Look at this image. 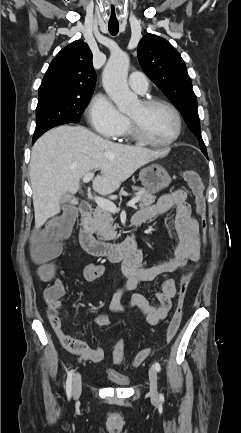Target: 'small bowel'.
Instances as JSON below:
<instances>
[{
    "label": "small bowel",
    "instance_id": "c3829d8e",
    "mask_svg": "<svg viewBox=\"0 0 241 433\" xmlns=\"http://www.w3.org/2000/svg\"><path fill=\"white\" fill-rule=\"evenodd\" d=\"M172 210L174 211L175 230L178 235V245L174 249L173 256L158 264L146 266L142 253L137 252L124 264L126 279L110 301V309L113 312L122 313L134 308L140 309L146 315L147 322L151 326L157 325L167 317L176 294L174 280L167 278L163 281L160 290L155 293V302H151L145 295L137 293L124 303L122 301L124 294L144 283L153 281L162 274L183 268L189 262H198L201 258L200 226L191 214L187 194L184 190L178 189L163 195L155 204L141 209L135 215L142 216L145 222ZM104 273L105 266L95 262L86 265L83 271L85 279L89 282L97 280ZM50 288L59 292L54 298L47 299V316L63 347L81 360L102 361L104 351L101 347L90 346L63 331L58 310L62 306L61 298L65 296L66 289L60 280H57ZM93 324L96 327L108 326L110 324L109 316L106 314L96 315Z\"/></svg>",
    "mask_w": 241,
    "mask_h": 433
}]
</instances>
